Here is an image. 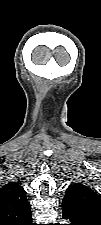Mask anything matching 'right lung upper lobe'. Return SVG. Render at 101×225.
<instances>
[{
    "label": "right lung upper lobe",
    "mask_w": 101,
    "mask_h": 225,
    "mask_svg": "<svg viewBox=\"0 0 101 225\" xmlns=\"http://www.w3.org/2000/svg\"><path fill=\"white\" fill-rule=\"evenodd\" d=\"M32 216L26 192L15 182L0 188V225H30Z\"/></svg>",
    "instance_id": "cb5924a9"
}]
</instances>
